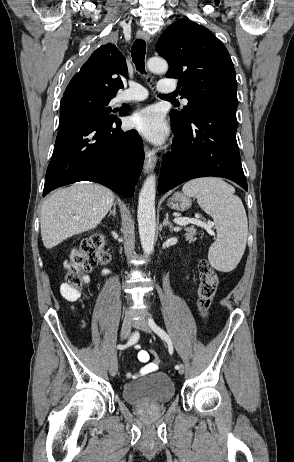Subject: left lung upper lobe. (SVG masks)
Returning <instances> with one entry per match:
<instances>
[{"mask_svg":"<svg viewBox=\"0 0 294 462\" xmlns=\"http://www.w3.org/2000/svg\"><path fill=\"white\" fill-rule=\"evenodd\" d=\"M169 64L168 78H179L180 95L189 100L182 111L172 110V121L187 124L205 107L238 105L236 73L223 43L211 31L190 20L171 24L155 47Z\"/></svg>","mask_w":294,"mask_h":462,"instance_id":"1","label":"left lung upper lobe"}]
</instances>
